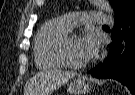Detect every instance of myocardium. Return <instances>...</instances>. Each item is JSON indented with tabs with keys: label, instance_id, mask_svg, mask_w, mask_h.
Instances as JSON below:
<instances>
[{
	"label": "myocardium",
	"instance_id": "f54148a6",
	"mask_svg": "<svg viewBox=\"0 0 135 95\" xmlns=\"http://www.w3.org/2000/svg\"><path fill=\"white\" fill-rule=\"evenodd\" d=\"M70 36H65L64 39L62 40L60 47H59V56L64 63V65L72 67V68H81L85 66V62H75L71 60L68 56L67 53V43L69 41Z\"/></svg>",
	"mask_w": 135,
	"mask_h": 95
}]
</instances>
